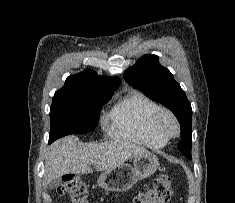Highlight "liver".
Returning a JSON list of instances; mask_svg holds the SVG:
<instances>
[{"label":"liver","mask_w":235,"mask_h":203,"mask_svg":"<svg viewBox=\"0 0 235 203\" xmlns=\"http://www.w3.org/2000/svg\"><path fill=\"white\" fill-rule=\"evenodd\" d=\"M147 150L136 144L114 140L104 143H82L76 136L55 141L48 149L45 161L47 181L60 179L65 174L91 173L113 169L135 155Z\"/></svg>","instance_id":"1"}]
</instances>
